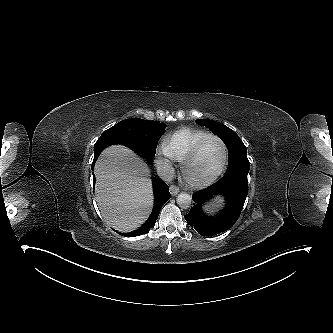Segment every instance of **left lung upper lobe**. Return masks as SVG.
Listing matches in <instances>:
<instances>
[{"label": "left lung upper lobe", "instance_id": "left-lung-upper-lobe-1", "mask_svg": "<svg viewBox=\"0 0 333 333\" xmlns=\"http://www.w3.org/2000/svg\"><path fill=\"white\" fill-rule=\"evenodd\" d=\"M198 124L208 127L225 143L229 151V167L224 179H245L249 172L247 149L239 136L227 126L213 120L200 119Z\"/></svg>", "mask_w": 333, "mask_h": 333}]
</instances>
